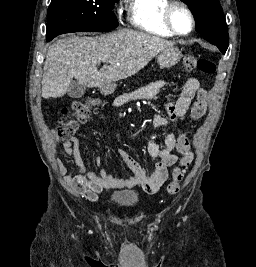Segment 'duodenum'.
<instances>
[{
  "instance_id": "duodenum-1",
  "label": "duodenum",
  "mask_w": 256,
  "mask_h": 267,
  "mask_svg": "<svg viewBox=\"0 0 256 267\" xmlns=\"http://www.w3.org/2000/svg\"><path fill=\"white\" fill-rule=\"evenodd\" d=\"M116 78H107L106 81H102L101 85H98V94H115Z\"/></svg>"
}]
</instances>
